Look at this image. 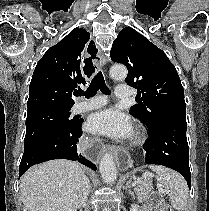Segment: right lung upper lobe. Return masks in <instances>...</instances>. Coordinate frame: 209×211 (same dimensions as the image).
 <instances>
[{"instance_id": "right-lung-upper-lobe-1", "label": "right lung upper lobe", "mask_w": 209, "mask_h": 211, "mask_svg": "<svg viewBox=\"0 0 209 211\" xmlns=\"http://www.w3.org/2000/svg\"><path fill=\"white\" fill-rule=\"evenodd\" d=\"M90 34L74 28L59 43L47 50L34 70L29 86L28 112L43 108H71L72 95L95 71L91 57L85 58ZM89 53V52H88Z\"/></svg>"}]
</instances>
